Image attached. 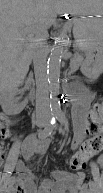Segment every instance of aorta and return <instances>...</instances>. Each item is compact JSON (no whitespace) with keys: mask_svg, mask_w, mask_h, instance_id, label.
Returning a JSON list of instances; mask_svg holds the SVG:
<instances>
[{"mask_svg":"<svg viewBox=\"0 0 103 193\" xmlns=\"http://www.w3.org/2000/svg\"><path fill=\"white\" fill-rule=\"evenodd\" d=\"M67 34L64 32L59 33L55 39V44L51 49L50 56L47 62V74L49 87L53 94L58 90L61 58L64 52V46L67 42ZM52 108L54 111H58V103L56 98L51 99Z\"/></svg>","mask_w":103,"mask_h":193,"instance_id":"obj_1","label":"aorta"}]
</instances>
